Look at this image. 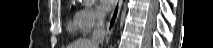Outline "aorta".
Returning <instances> with one entry per match:
<instances>
[{
	"label": "aorta",
	"instance_id": "1",
	"mask_svg": "<svg viewBox=\"0 0 213 48\" xmlns=\"http://www.w3.org/2000/svg\"><path fill=\"white\" fill-rule=\"evenodd\" d=\"M80 1H83L85 5H90L93 4L95 0H80Z\"/></svg>",
	"mask_w": 213,
	"mask_h": 48
}]
</instances>
